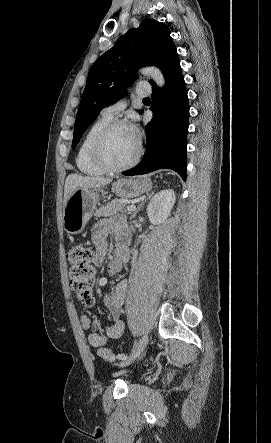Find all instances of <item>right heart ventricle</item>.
Listing matches in <instances>:
<instances>
[{
    "instance_id": "right-heart-ventricle-1",
    "label": "right heart ventricle",
    "mask_w": 271,
    "mask_h": 443,
    "mask_svg": "<svg viewBox=\"0 0 271 443\" xmlns=\"http://www.w3.org/2000/svg\"><path fill=\"white\" fill-rule=\"evenodd\" d=\"M110 120H112V116L101 115L85 132L75 155V164L81 173L93 177L105 173V170L94 161L91 150L98 133Z\"/></svg>"
}]
</instances>
